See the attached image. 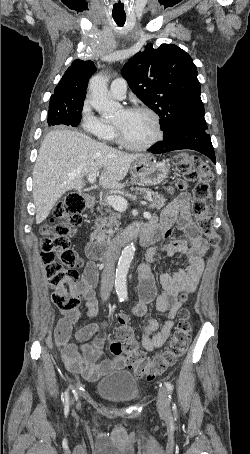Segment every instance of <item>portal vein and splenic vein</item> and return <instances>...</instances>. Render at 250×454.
Returning a JSON list of instances; mask_svg holds the SVG:
<instances>
[{
  "label": "portal vein and splenic vein",
  "instance_id": "1",
  "mask_svg": "<svg viewBox=\"0 0 250 454\" xmlns=\"http://www.w3.org/2000/svg\"><path fill=\"white\" fill-rule=\"evenodd\" d=\"M87 180L89 183L93 184L96 180V174L90 173L87 177ZM105 199H106L107 203L118 212H124L128 207V203H127L126 199H124L121 196L109 195V196H106Z\"/></svg>",
  "mask_w": 250,
  "mask_h": 454
}]
</instances>
